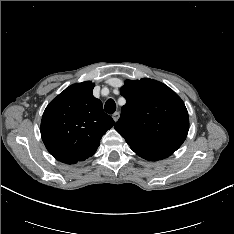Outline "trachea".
Segmentation results:
<instances>
[{"mask_svg": "<svg viewBox=\"0 0 234 234\" xmlns=\"http://www.w3.org/2000/svg\"><path fill=\"white\" fill-rule=\"evenodd\" d=\"M104 109L108 114L114 113L116 110L115 101L113 99H108L105 103Z\"/></svg>", "mask_w": 234, "mask_h": 234, "instance_id": "1", "label": "trachea"}]
</instances>
